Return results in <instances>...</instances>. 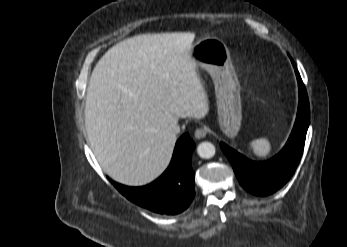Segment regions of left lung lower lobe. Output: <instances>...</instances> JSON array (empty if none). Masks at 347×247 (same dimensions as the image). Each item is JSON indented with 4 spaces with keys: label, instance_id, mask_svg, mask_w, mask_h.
I'll return each mask as SVG.
<instances>
[{
    "label": "left lung lower lobe",
    "instance_id": "left-lung-lower-lobe-1",
    "mask_svg": "<svg viewBox=\"0 0 347 247\" xmlns=\"http://www.w3.org/2000/svg\"><path fill=\"white\" fill-rule=\"evenodd\" d=\"M291 61L299 85V106L295 125L284 148L270 160L254 162L226 144H220L241 186L254 195H270L286 184L295 172L304 149L310 119L309 101L301 76L294 61Z\"/></svg>",
    "mask_w": 347,
    "mask_h": 247
}]
</instances>
